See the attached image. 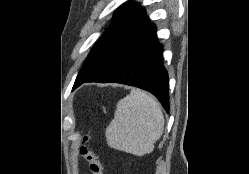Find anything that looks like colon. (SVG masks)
<instances>
[{
	"mask_svg": "<svg viewBox=\"0 0 249 174\" xmlns=\"http://www.w3.org/2000/svg\"><path fill=\"white\" fill-rule=\"evenodd\" d=\"M88 139V135L83 137V144L80 147V154L87 161L89 170L92 174H103L102 165L98 156L87 146Z\"/></svg>",
	"mask_w": 249,
	"mask_h": 174,
	"instance_id": "1",
	"label": "colon"
}]
</instances>
